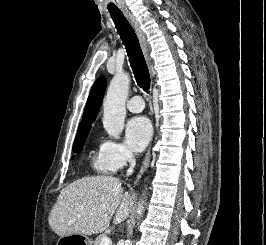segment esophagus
Segmentation results:
<instances>
[{"label":"esophagus","instance_id":"34e87169","mask_svg":"<svg viewBox=\"0 0 266 245\" xmlns=\"http://www.w3.org/2000/svg\"><path fill=\"white\" fill-rule=\"evenodd\" d=\"M126 16L127 18L129 19L132 27L134 28L136 34H137V37L139 39V42H140V46L142 48V51L144 53V56L146 58V61L149 65V69H150V72H151V75L152 77H154L155 75V72H154V68H153V65H152V60H151V57H150V49H149V45H148V42L146 40V36L144 34V32L142 31L141 27H140V24L138 22V20H136L135 17H133V15H131L129 12L126 13ZM150 158H151V154H150V149L148 150L145 158H144V161H143V164L141 166V169L139 170V173L137 175V180H139L143 173L146 171L149 163H150Z\"/></svg>","mask_w":266,"mask_h":245}]
</instances>
